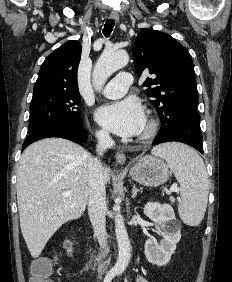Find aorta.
Here are the masks:
<instances>
[{"instance_id":"762f6f07","label":"aorta","mask_w":232,"mask_h":282,"mask_svg":"<svg viewBox=\"0 0 232 282\" xmlns=\"http://www.w3.org/2000/svg\"><path fill=\"white\" fill-rule=\"evenodd\" d=\"M129 62L128 54L123 50H105L98 59L92 75L93 86L100 91L107 79L117 70L125 67ZM115 234L118 243V258L113 267L116 273H122L127 268L130 256V240L124 219L120 214V206L115 205Z\"/></svg>"}]
</instances>
